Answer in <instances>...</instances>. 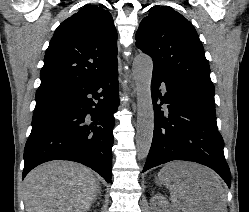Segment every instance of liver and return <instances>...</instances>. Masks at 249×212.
Listing matches in <instances>:
<instances>
[{"label":"liver","instance_id":"liver-1","mask_svg":"<svg viewBox=\"0 0 249 212\" xmlns=\"http://www.w3.org/2000/svg\"><path fill=\"white\" fill-rule=\"evenodd\" d=\"M172 210L227 212L221 180L213 170L193 162L165 166ZM26 212H88L99 184L89 168L75 162H48L34 168L24 180Z\"/></svg>","mask_w":249,"mask_h":212}]
</instances>
